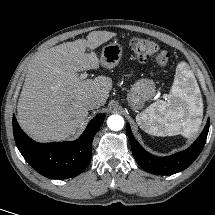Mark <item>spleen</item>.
I'll list each match as a JSON object with an SVG mask.
<instances>
[{
	"mask_svg": "<svg viewBox=\"0 0 215 215\" xmlns=\"http://www.w3.org/2000/svg\"><path fill=\"white\" fill-rule=\"evenodd\" d=\"M203 102L195 76L185 62L176 68L167 101H157L137 114L141 129L154 136L193 137L202 123Z\"/></svg>",
	"mask_w": 215,
	"mask_h": 215,
	"instance_id": "1",
	"label": "spleen"
}]
</instances>
